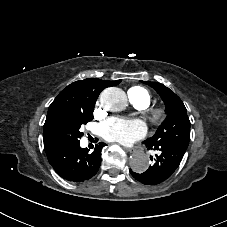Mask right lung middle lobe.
<instances>
[{"label": "right lung middle lobe", "instance_id": "right-lung-middle-lobe-1", "mask_svg": "<svg viewBox=\"0 0 227 227\" xmlns=\"http://www.w3.org/2000/svg\"><path fill=\"white\" fill-rule=\"evenodd\" d=\"M94 105L62 101L49 107L43 130L46 154L79 142L81 125L93 120Z\"/></svg>", "mask_w": 227, "mask_h": 227}]
</instances>
